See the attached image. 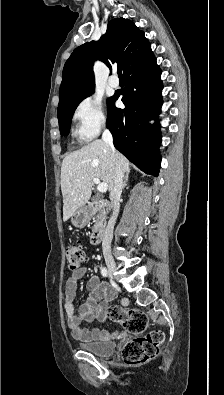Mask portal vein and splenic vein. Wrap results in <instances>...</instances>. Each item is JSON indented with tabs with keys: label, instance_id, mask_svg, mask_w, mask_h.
<instances>
[{
	"label": "portal vein and splenic vein",
	"instance_id": "18ae733b",
	"mask_svg": "<svg viewBox=\"0 0 224 395\" xmlns=\"http://www.w3.org/2000/svg\"><path fill=\"white\" fill-rule=\"evenodd\" d=\"M93 182H94L95 184H97V190H98L99 192L104 193V192L107 191V184L104 183V182H101L100 179L94 178V179H93Z\"/></svg>",
	"mask_w": 224,
	"mask_h": 395
}]
</instances>
